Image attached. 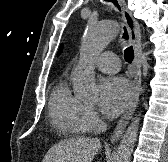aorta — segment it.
<instances>
[{"mask_svg":"<svg viewBox=\"0 0 168 162\" xmlns=\"http://www.w3.org/2000/svg\"><path fill=\"white\" fill-rule=\"evenodd\" d=\"M118 24L114 21H89L81 43V62L72 72V82L77 97L81 100H94L98 95V84L90 60L101 53L118 35ZM140 117L132 119L118 146L114 162H130L137 140Z\"/></svg>","mask_w":168,"mask_h":162,"instance_id":"aorta-1","label":"aorta"}]
</instances>
